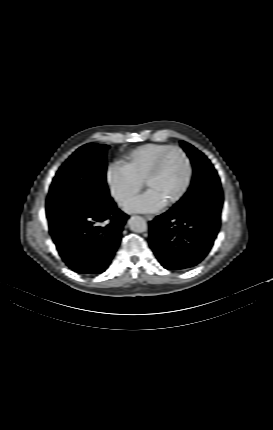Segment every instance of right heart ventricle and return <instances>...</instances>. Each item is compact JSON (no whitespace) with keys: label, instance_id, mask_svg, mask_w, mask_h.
Returning <instances> with one entry per match:
<instances>
[{"label":"right heart ventricle","instance_id":"e07e8e85","mask_svg":"<svg viewBox=\"0 0 273 430\" xmlns=\"http://www.w3.org/2000/svg\"><path fill=\"white\" fill-rule=\"evenodd\" d=\"M170 146L161 143L138 146L123 157L122 164L143 183L158 157Z\"/></svg>","mask_w":273,"mask_h":430}]
</instances>
